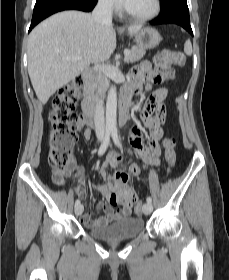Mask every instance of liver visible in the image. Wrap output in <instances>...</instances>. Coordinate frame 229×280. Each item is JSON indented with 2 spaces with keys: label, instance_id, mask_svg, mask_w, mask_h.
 Returning a JSON list of instances; mask_svg holds the SVG:
<instances>
[{
  "label": "liver",
  "instance_id": "liver-1",
  "mask_svg": "<svg viewBox=\"0 0 229 280\" xmlns=\"http://www.w3.org/2000/svg\"><path fill=\"white\" fill-rule=\"evenodd\" d=\"M141 26L128 27L133 35ZM116 48L112 24L96 23L91 14L63 11L37 25L28 39V73L37 98L46 104L90 63L107 61ZM77 56L76 62L64 59Z\"/></svg>",
  "mask_w": 229,
  "mask_h": 280
}]
</instances>
